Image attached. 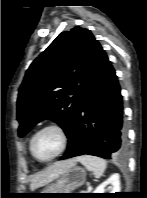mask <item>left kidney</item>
<instances>
[{"label": "left kidney", "instance_id": "5707ae66", "mask_svg": "<svg viewBox=\"0 0 147 198\" xmlns=\"http://www.w3.org/2000/svg\"><path fill=\"white\" fill-rule=\"evenodd\" d=\"M108 185H111L108 187L107 190H109V193H115L120 192V176L119 174H113L111 177H109L106 181L101 183L93 193H106V187Z\"/></svg>", "mask_w": 147, "mask_h": 198}]
</instances>
